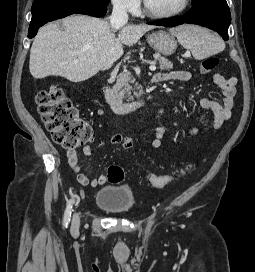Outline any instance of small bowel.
Masks as SVG:
<instances>
[{
	"label": "small bowel",
	"instance_id": "small-bowel-1",
	"mask_svg": "<svg viewBox=\"0 0 255 272\" xmlns=\"http://www.w3.org/2000/svg\"><path fill=\"white\" fill-rule=\"evenodd\" d=\"M192 75L188 71L174 70L168 72H158L154 75L153 81L155 83H162L167 81H189ZM213 82L217 85L223 94V104H220L212 98H203L200 101L201 106L209 110L212 113V127L214 130L219 129L222 124L228 120L231 116V111L235 104L236 84L237 79L235 77L226 78L221 74H215L213 76ZM164 110L159 108L155 112V119L159 123V127L155 130L153 139L151 140V146L155 149L161 147L163 139L168 133V128L163 121ZM201 130L200 126H194L190 129V135H197ZM111 143L120 144L124 149L128 150L133 147V140L121 134H114L111 137ZM82 153L86 156L92 154V147L90 144H86L82 148ZM66 156L71 169L77 174V180L82 186H103L107 183V177L101 175L98 178H89L81 173V165L78 160L76 150H67Z\"/></svg>",
	"mask_w": 255,
	"mask_h": 272
}]
</instances>
